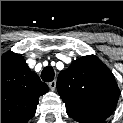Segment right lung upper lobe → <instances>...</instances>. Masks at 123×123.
<instances>
[{
  "label": "right lung upper lobe",
  "instance_id": "right-lung-upper-lobe-1",
  "mask_svg": "<svg viewBox=\"0 0 123 123\" xmlns=\"http://www.w3.org/2000/svg\"><path fill=\"white\" fill-rule=\"evenodd\" d=\"M47 91L21 54L9 51L1 56V123H26Z\"/></svg>",
  "mask_w": 123,
  "mask_h": 123
}]
</instances>
